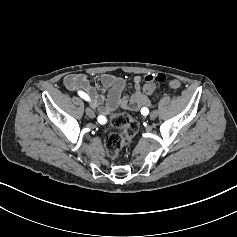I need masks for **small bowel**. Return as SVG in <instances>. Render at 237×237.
<instances>
[{
	"label": "small bowel",
	"mask_w": 237,
	"mask_h": 237,
	"mask_svg": "<svg viewBox=\"0 0 237 237\" xmlns=\"http://www.w3.org/2000/svg\"><path fill=\"white\" fill-rule=\"evenodd\" d=\"M152 75L146 76V80L152 79ZM101 85L108 89L107 95L98 93L96 87L90 82L87 76L83 74H69L64 77L65 87L73 92H83L89 97L90 105L96 109L98 114L106 116L113 113L119 106L129 108L131 110H139L142 106H146L150 103L147 96L141 91V77L136 76L135 94L129 98L122 97V91L124 88V81L112 74H102L100 76ZM170 86L172 88H178L180 82L178 80H171Z\"/></svg>",
	"instance_id": "obj_1"
}]
</instances>
